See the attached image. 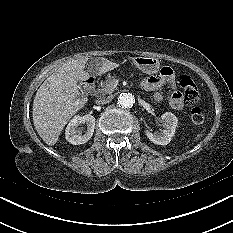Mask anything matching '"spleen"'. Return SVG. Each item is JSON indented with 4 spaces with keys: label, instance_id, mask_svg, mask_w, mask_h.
<instances>
[{
    "label": "spleen",
    "instance_id": "3e777b00",
    "mask_svg": "<svg viewBox=\"0 0 233 233\" xmlns=\"http://www.w3.org/2000/svg\"><path fill=\"white\" fill-rule=\"evenodd\" d=\"M202 137V134H198L196 137V141L199 140Z\"/></svg>",
    "mask_w": 233,
    "mask_h": 233
}]
</instances>
